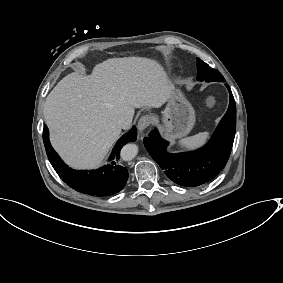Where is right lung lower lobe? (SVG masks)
Here are the masks:
<instances>
[{"mask_svg":"<svg viewBox=\"0 0 283 283\" xmlns=\"http://www.w3.org/2000/svg\"><path fill=\"white\" fill-rule=\"evenodd\" d=\"M137 129L134 126L123 135L115 145L109 161L110 164L97 170H74L69 168L58 156L49 141V131L44 126L43 141L47 156L60 178L71 188L84 194L109 196L121 191L127 180L128 171L118 164L121 148L128 142L135 141Z\"/></svg>","mask_w":283,"mask_h":283,"instance_id":"right-lung-lower-lobe-1","label":"right lung lower lobe"}]
</instances>
